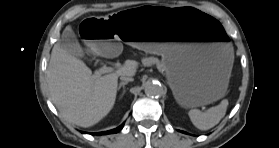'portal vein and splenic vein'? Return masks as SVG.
Masks as SVG:
<instances>
[{
  "instance_id": "obj_1",
  "label": "portal vein and splenic vein",
  "mask_w": 279,
  "mask_h": 148,
  "mask_svg": "<svg viewBox=\"0 0 279 148\" xmlns=\"http://www.w3.org/2000/svg\"><path fill=\"white\" fill-rule=\"evenodd\" d=\"M115 69L112 68V67H108L106 65L102 66L100 69H99V73L100 74H105V73H110V72H113ZM201 110L202 111H205L206 108L205 107H201Z\"/></svg>"
}]
</instances>
